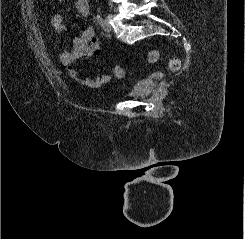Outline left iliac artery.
I'll use <instances>...</instances> for the list:
<instances>
[{
    "label": "left iliac artery",
    "mask_w": 245,
    "mask_h": 239,
    "mask_svg": "<svg viewBox=\"0 0 245 239\" xmlns=\"http://www.w3.org/2000/svg\"><path fill=\"white\" fill-rule=\"evenodd\" d=\"M96 20H97V22H98L99 24L102 22V17H101L100 14H97V15H96Z\"/></svg>",
    "instance_id": "1"
}]
</instances>
